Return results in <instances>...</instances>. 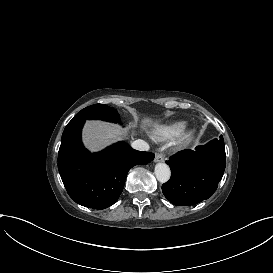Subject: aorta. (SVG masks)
<instances>
[{
  "label": "aorta",
  "mask_w": 273,
  "mask_h": 273,
  "mask_svg": "<svg viewBox=\"0 0 273 273\" xmlns=\"http://www.w3.org/2000/svg\"><path fill=\"white\" fill-rule=\"evenodd\" d=\"M155 176L160 183H166L171 177V171L167 164L157 163L155 166Z\"/></svg>",
  "instance_id": "1"
}]
</instances>
